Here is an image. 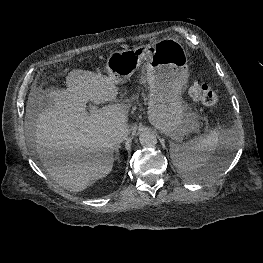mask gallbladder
Returning a JSON list of instances; mask_svg holds the SVG:
<instances>
[{"label":"gallbladder","instance_id":"bac80fb5","mask_svg":"<svg viewBox=\"0 0 263 263\" xmlns=\"http://www.w3.org/2000/svg\"><path fill=\"white\" fill-rule=\"evenodd\" d=\"M52 105V100L49 97H45L42 103L43 107H49Z\"/></svg>","mask_w":263,"mask_h":263}]
</instances>
